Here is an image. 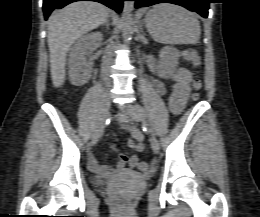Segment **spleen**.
Wrapping results in <instances>:
<instances>
[{
    "instance_id": "1",
    "label": "spleen",
    "mask_w": 260,
    "mask_h": 217,
    "mask_svg": "<svg viewBox=\"0 0 260 217\" xmlns=\"http://www.w3.org/2000/svg\"><path fill=\"white\" fill-rule=\"evenodd\" d=\"M153 39L165 44H196L200 39V23L193 12L173 4L155 5L145 16Z\"/></svg>"
}]
</instances>
